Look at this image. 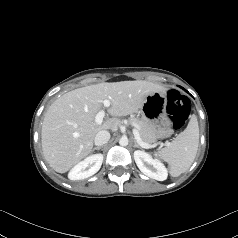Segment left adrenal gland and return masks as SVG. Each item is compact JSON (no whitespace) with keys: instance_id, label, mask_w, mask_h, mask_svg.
Masks as SVG:
<instances>
[{"instance_id":"left-adrenal-gland-1","label":"left adrenal gland","mask_w":238,"mask_h":238,"mask_svg":"<svg viewBox=\"0 0 238 238\" xmlns=\"http://www.w3.org/2000/svg\"><path fill=\"white\" fill-rule=\"evenodd\" d=\"M134 148H141V146L136 142V140H134Z\"/></svg>"}]
</instances>
